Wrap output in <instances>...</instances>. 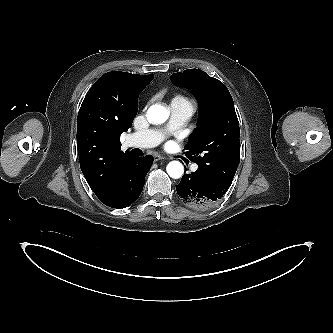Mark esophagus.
<instances>
[{
  "label": "esophagus",
  "instance_id": "esophagus-1",
  "mask_svg": "<svg viewBox=\"0 0 333 333\" xmlns=\"http://www.w3.org/2000/svg\"><path fill=\"white\" fill-rule=\"evenodd\" d=\"M163 159H165V157H163V156H161V155H159V154H155V155L153 156V160H154V162H157V161H159V160H163Z\"/></svg>",
  "mask_w": 333,
  "mask_h": 333
}]
</instances>
